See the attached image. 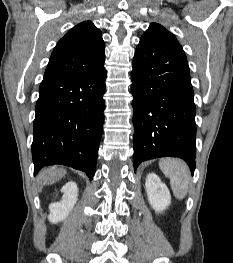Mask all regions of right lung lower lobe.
<instances>
[{
    "mask_svg": "<svg viewBox=\"0 0 233 263\" xmlns=\"http://www.w3.org/2000/svg\"><path fill=\"white\" fill-rule=\"evenodd\" d=\"M104 60L90 74L41 82L32 143L35 174L63 164L93 178L104 122Z\"/></svg>",
    "mask_w": 233,
    "mask_h": 263,
    "instance_id": "1",
    "label": "right lung lower lobe"
}]
</instances>
